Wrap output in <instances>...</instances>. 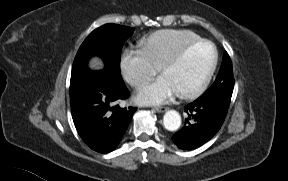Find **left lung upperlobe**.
Wrapping results in <instances>:
<instances>
[{"mask_svg":"<svg viewBox=\"0 0 288 181\" xmlns=\"http://www.w3.org/2000/svg\"><path fill=\"white\" fill-rule=\"evenodd\" d=\"M234 87L232 63L227 52L224 53L222 65L214 84L198 100H214L229 107Z\"/></svg>","mask_w":288,"mask_h":181,"instance_id":"left-lung-upper-lobe-1","label":"left lung upper lobe"}]
</instances>
